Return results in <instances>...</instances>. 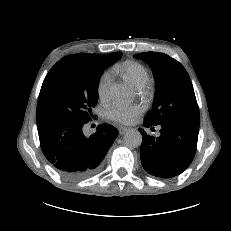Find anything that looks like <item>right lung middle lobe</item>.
<instances>
[{"label": "right lung middle lobe", "instance_id": "right-lung-middle-lobe-1", "mask_svg": "<svg viewBox=\"0 0 231 231\" xmlns=\"http://www.w3.org/2000/svg\"><path fill=\"white\" fill-rule=\"evenodd\" d=\"M121 52L109 55H69L58 61L45 77L37 103V124L49 121L86 123L98 101L103 71Z\"/></svg>", "mask_w": 231, "mask_h": 231}]
</instances>
